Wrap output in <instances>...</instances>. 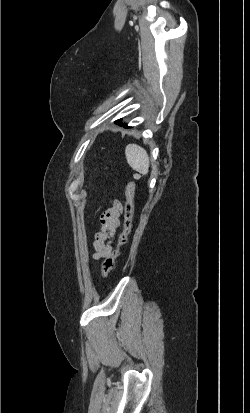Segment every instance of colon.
Segmentation results:
<instances>
[{"label": "colon", "instance_id": "1", "mask_svg": "<svg viewBox=\"0 0 250 413\" xmlns=\"http://www.w3.org/2000/svg\"><path fill=\"white\" fill-rule=\"evenodd\" d=\"M135 183L130 182L126 188V201L124 208L123 230L119 235L117 245L112 249L110 254L102 262V275L106 279L113 270L115 261L120 254V248L127 242L132 227L133 218V201H134Z\"/></svg>", "mask_w": 250, "mask_h": 413}]
</instances>
